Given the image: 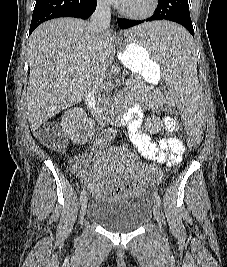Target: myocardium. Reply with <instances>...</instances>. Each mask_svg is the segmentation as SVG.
Returning a JSON list of instances; mask_svg holds the SVG:
<instances>
[{"label": "myocardium", "instance_id": "1", "mask_svg": "<svg viewBox=\"0 0 227 267\" xmlns=\"http://www.w3.org/2000/svg\"><path fill=\"white\" fill-rule=\"evenodd\" d=\"M159 0H149L148 5L143 10H133L126 7L121 9L124 16L131 19H145L150 17L158 8Z\"/></svg>", "mask_w": 227, "mask_h": 267}]
</instances>
